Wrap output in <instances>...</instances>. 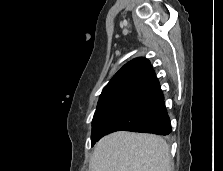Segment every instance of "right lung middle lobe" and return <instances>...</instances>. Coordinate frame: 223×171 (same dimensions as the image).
Returning <instances> with one entry per match:
<instances>
[{
  "label": "right lung middle lobe",
  "mask_w": 223,
  "mask_h": 171,
  "mask_svg": "<svg viewBox=\"0 0 223 171\" xmlns=\"http://www.w3.org/2000/svg\"><path fill=\"white\" fill-rule=\"evenodd\" d=\"M135 99L136 97L132 96H115L99 100L92 121V145L102 137L105 128Z\"/></svg>",
  "instance_id": "obj_1"
}]
</instances>
